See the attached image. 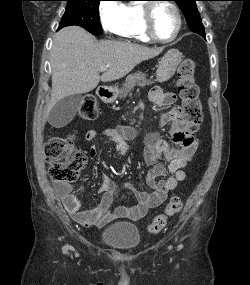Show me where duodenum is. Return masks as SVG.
<instances>
[{
	"label": "duodenum",
	"mask_w": 250,
	"mask_h": 285,
	"mask_svg": "<svg viewBox=\"0 0 250 285\" xmlns=\"http://www.w3.org/2000/svg\"><path fill=\"white\" fill-rule=\"evenodd\" d=\"M97 93H98L99 98L103 102H110L112 99V92L107 87H104V86L99 87L97 90Z\"/></svg>",
	"instance_id": "410a0bca"
}]
</instances>
